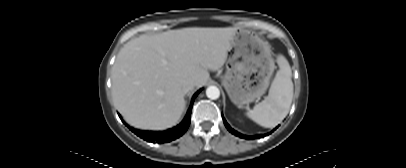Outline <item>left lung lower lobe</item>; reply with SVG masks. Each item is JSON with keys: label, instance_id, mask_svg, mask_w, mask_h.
<instances>
[{"label": "left lung lower lobe", "instance_id": "1", "mask_svg": "<svg viewBox=\"0 0 406 168\" xmlns=\"http://www.w3.org/2000/svg\"><path fill=\"white\" fill-rule=\"evenodd\" d=\"M223 121H224V124H225L226 128L229 130V132H231L232 134H234V135H236V136H238V137L244 138V139H256V138H262V137L268 135V134H264V135L260 134V135H255V136H246V135L240 134L239 132L233 130V129L228 125V123L226 122V120L224 119V117H223ZM274 130H275V129H274Z\"/></svg>", "mask_w": 406, "mask_h": 168}]
</instances>
